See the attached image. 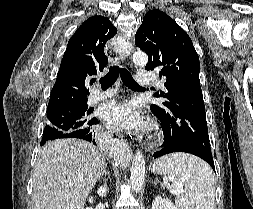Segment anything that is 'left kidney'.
Listing matches in <instances>:
<instances>
[{
  "label": "left kidney",
  "instance_id": "1",
  "mask_svg": "<svg viewBox=\"0 0 253 209\" xmlns=\"http://www.w3.org/2000/svg\"><path fill=\"white\" fill-rule=\"evenodd\" d=\"M152 209H177V207L168 198L157 196L152 202Z\"/></svg>",
  "mask_w": 253,
  "mask_h": 209
}]
</instances>
